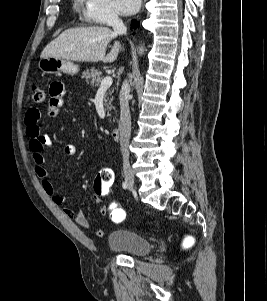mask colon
Listing matches in <instances>:
<instances>
[{"mask_svg":"<svg viewBox=\"0 0 267 301\" xmlns=\"http://www.w3.org/2000/svg\"><path fill=\"white\" fill-rule=\"evenodd\" d=\"M31 99L34 104L43 102L44 91L39 85H32ZM113 184V171L108 167H103L94 179L92 195L101 201L106 215L112 222L122 223L126 218V211L116 199Z\"/></svg>","mask_w":267,"mask_h":301,"instance_id":"colon-1","label":"colon"}]
</instances>
